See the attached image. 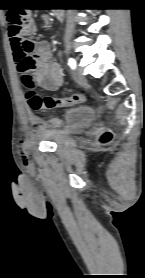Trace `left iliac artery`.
<instances>
[{
	"mask_svg": "<svg viewBox=\"0 0 145 278\" xmlns=\"http://www.w3.org/2000/svg\"><path fill=\"white\" fill-rule=\"evenodd\" d=\"M68 65L71 67V69L76 68V61L73 58H69Z\"/></svg>",
	"mask_w": 145,
	"mask_h": 278,
	"instance_id": "obj_1",
	"label": "left iliac artery"
}]
</instances>
